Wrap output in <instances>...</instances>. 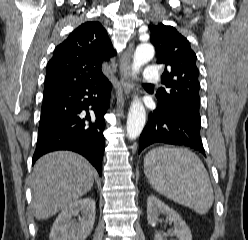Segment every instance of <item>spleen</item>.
I'll list each match as a JSON object with an SVG mask.
<instances>
[{
	"label": "spleen",
	"instance_id": "spleen-1",
	"mask_svg": "<svg viewBox=\"0 0 248 240\" xmlns=\"http://www.w3.org/2000/svg\"><path fill=\"white\" fill-rule=\"evenodd\" d=\"M144 173L158 193L200 215L213 204L208 172L200 158L187 148L152 149L144 158Z\"/></svg>",
	"mask_w": 248,
	"mask_h": 240
}]
</instances>
